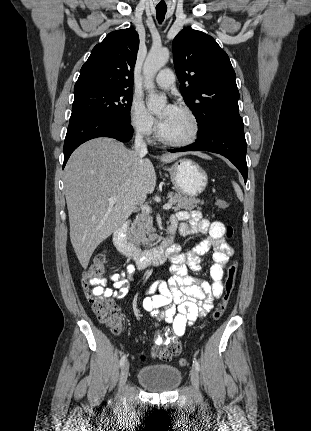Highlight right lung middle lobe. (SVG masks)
Masks as SVG:
<instances>
[{
	"instance_id": "dd1d6c3e",
	"label": "right lung middle lobe",
	"mask_w": 311,
	"mask_h": 431,
	"mask_svg": "<svg viewBox=\"0 0 311 431\" xmlns=\"http://www.w3.org/2000/svg\"><path fill=\"white\" fill-rule=\"evenodd\" d=\"M70 121L89 115L130 120L133 91L89 88L74 91Z\"/></svg>"
}]
</instances>
